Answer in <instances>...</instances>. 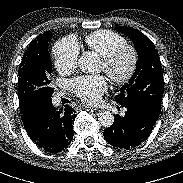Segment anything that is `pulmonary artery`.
Listing matches in <instances>:
<instances>
[{"label":"pulmonary artery","instance_id":"pulmonary-artery-1","mask_svg":"<svg viewBox=\"0 0 183 183\" xmlns=\"http://www.w3.org/2000/svg\"><path fill=\"white\" fill-rule=\"evenodd\" d=\"M58 99H59V97L57 96L56 100H58Z\"/></svg>","mask_w":183,"mask_h":183}]
</instances>
